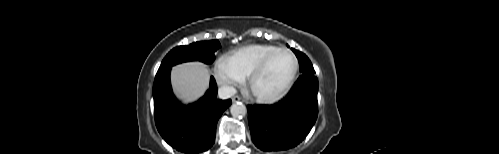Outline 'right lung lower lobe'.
Listing matches in <instances>:
<instances>
[{"label": "right lung lower lobe", "mask_w": 499, "mask_h": 154, "mask_svg": "<svg viewBox=\"0 0 499 154\" xmlns=\"http://www.w3.org/2000/svg\"><path fill=\"white\" fill-rule=\"evenodd\" d=\"M171 68L157 72L154 85V117L156 127L173 148L187 154L208 150L215 142L218 119L231 105V100L217 99L213 76L206 94L197 102L182 105L175 98L170 83Z\"/></svg>", "instance_id": "1"}]
</instances>
